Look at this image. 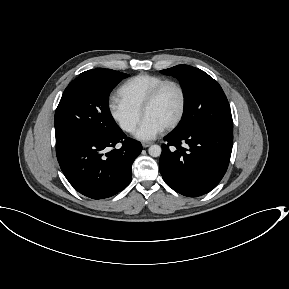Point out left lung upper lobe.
<instances>
[{"mask_svg":"<svg viewBox=\"0 0 289 289\" xmlns=\"http://www.w3.org/2000/svg\"><path fill=\"white\" fill-rule=\"evenodd\" d=\"M160 72L177 78L183 89L185 110L174 131L184 132L202 127L232 133L228 100L221 86L211 76L188 65H177Z\"/></svg>","mask_w":289,"mask_h":289,"instance_id":"left-lung-upper-lobe-1","label":"left lung upper lobe"}]
</instances>
